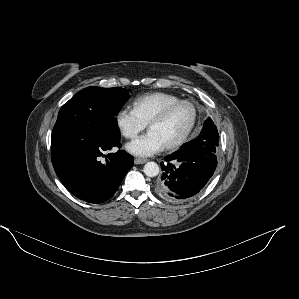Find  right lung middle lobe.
<instances>
[{"label":"right lung middle lobe","instance_id":"right-lung-middle-lobe-1","mask_svg":"<svg viewBox=\"0 0 299 299\" xmlns=\"http://www.w3.org/2000/svg\"><path fill=\"white\" fill-rule=\"evenodd\" d=\"M128 98V90L120 87L79 91L61 107L51 141L75 134L119 140L116 115Z\"/></svg>","mask_w":299,"mask_h":299}]
</instances>
